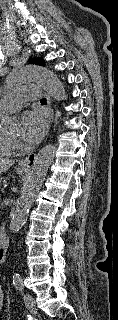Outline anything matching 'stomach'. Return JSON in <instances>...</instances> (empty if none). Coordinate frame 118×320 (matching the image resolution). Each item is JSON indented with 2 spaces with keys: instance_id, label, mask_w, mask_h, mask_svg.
I'll return each instance as SVG.
<instances>
[{
  "instance_id": "1",
  "label": "stomach",
  "mask_w": 118,
  "mask_h": 320,
  "mask_svg": "<svg viewBox=\"0 0 118 320\" xmlns=\"http://www.w3.org/2000/svg\"><path fill=\"white\" fill-rule=\"evenodd\" d=\"M17 172H19V173H24V172H25V169H24V168H18V169H17Z\"/></svg>"
}]
</instances>
